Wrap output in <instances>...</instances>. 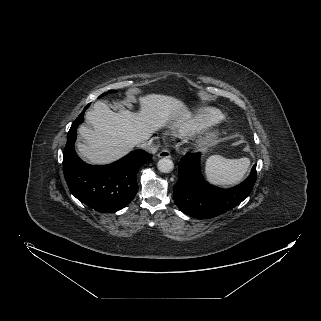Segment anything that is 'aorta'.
Returning <instances> with one entry per match:
<instances>
[{
  "label": "aorta",
  "mask_w": 321,
  "mask_h": 321,
  "mask_svg": "<svg viewBox=\"0 0 321 321\" xmlns=\"http://www.w3.org/2000/svg\"><path fill=\"white\" fill-rule=\"evenodd\" d=\"M158 170L162 173H169L174 169V163L169 158H162L157 163Z\"/></svg>",
  "instance_id": "obj_1"
}]
</instances>
